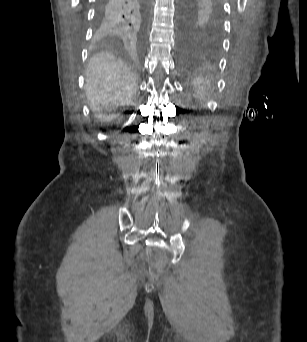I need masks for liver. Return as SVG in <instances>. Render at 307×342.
<instances>
[{
  "label": "liver",
  "instance_id": "liver-1",
  "mask_svg": "<svg viewBox=\"0 0 307 342\" xmlns=\"http://www.w3.org/2000/svg\"><path fill=\"white\" fill-rule=\"evenodd\" d=\"M86 96L90 110L100 122H111L117 114L113 106H131L138 90L137 76L113 54L102 52L91 58L86 68Z\"/></svg>",
  "mask_w": 307,
  "mask_h": 342
}]
</instances>
